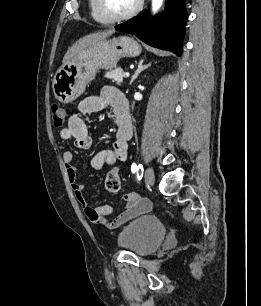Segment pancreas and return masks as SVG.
Segmentation results:
<instances>
[{"instance_id": "cf45deb5", "label": "pancreas", "mask_w": 261, "mask_h": 306, "mask_svg": "<svg viewBox=\"0 0 261 306\" xmlns=\"http://www.w3.org/2000/svg\"><path fill=\"white\" fill-rule=\"evenodd\" d=\"M105 78L111 79L113 82L116 83H122L123 81V69L122 68H116L110 72H107L105 74Z\"/></svg>"}]
</instances>
